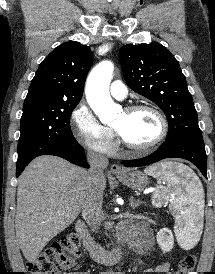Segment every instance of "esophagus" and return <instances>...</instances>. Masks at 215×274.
<instances>
[{"instance_id": "obj_1", "label": "esophagus", "mask_w": 215, "mask_h": 274, "mask_svg": "<svg viewBox=\"0 0 215 274\" xmlns=\"http://www.w3.org/2000/svg\"><path fill=\"white\" fill-rule=\"evenodd\" d=\"M111 172L112 174L119 176V175H123L125 173V170L119 164H112Z\"/></svg>"}]
</instances>
